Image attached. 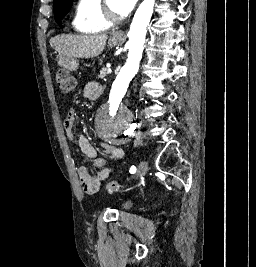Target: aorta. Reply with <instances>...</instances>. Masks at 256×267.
<instances>
[{
  "instance_id": "obj_1",
  "label": "aorta",
  "mask_w": 256,
  "mask_h": 267,
  "mask_svg": "<svg viewBox=\"0 0 256 267\" xmlns=\"http://www.w3.org/2000/svg\"><path fill=\"white\" fill-rule=\"evenodd\" d=\"M155 2L156 0H143L134 14L127 34L129 52L122 66L123 72L116 75L117 81H114L112 92H109V101L103 104V108H97L96 127H129V122H133V117H129L130 108H124V104L117 103L124 97L131 77H134L139 70L147 26L152 18ZM93 133H97V138H106V143H131V138H120V133H124V128H93Z\"/></svg>"
}]
</instances>
